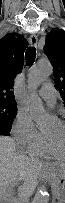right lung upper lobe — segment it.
I'll return each instance as SVG.
<instances>
[{
    "mask_svg": "<svg viewBox=\"0 0 65 203\" xmlns=\"http://www.w3.org/2000/svg\"><path fill=\"white\" fill-rule=\"evenodd\" d=\"M6 35L0 40V102L15 103L11 91L16 74L20 73L24 63V51L27 40L17 35Z\"/></svg>",
    "mask_w": 65,
    "mask_h": 203,
    "instance_id": "1",
    "label": "right lung upper lobe"
}]
</instances>
